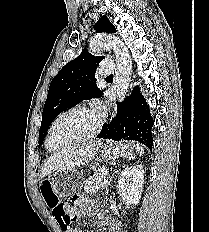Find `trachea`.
Masks as SVG:
<instances>
[{"instance_id": "trachea-1", "label": "trachea", "mask_w": 209, "mask_h": 232, "mask_svg": "<svg viewBox=\"0 0 209 232\" xmlns=\"http://www.w3.org/2000/svg\"><path fill=\"white\" fill-rule=\"evenodd\" d=\"M113 78V75L107 76L106 79H111Z\"/></svg>"}]
</instances>
